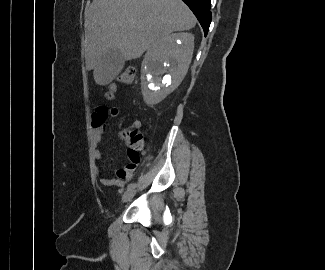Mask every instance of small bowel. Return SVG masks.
Wrapping results in <instances>:
<instances>
[{
    "label": "small bowel",
    "instance_id": "small-bowel-1",
    "mask_svg": "<svg viewBox=\"0 0 325 270\" xmlns=\"http://www.w3.org/2000/svg\"><path fill=\"white\" fill-rule=\"evenodd\" d=\"M119 115V109L117 107L107 108L105 103H98L95 113L92 119V129H91V141L93 145V156L96 162L100 161L102 158V152L98 146V144L102 140V135L105 130L104 122L108 120V118H116ZM138 127L137 124L134 125ZM131 147L128 145L127 149V158L128 161L130 159L129 152L131 151ZM136 165L133 167H125L119 168L116 172L117 178L112 179L101 174V168L99 165H96L95 170L99 177L101 184L105 186H117L122 187L124 181H129L132 177V173L136 169Z\"/></svg>",
    "mask_w": 325,
    "mask_h": 270
}]
</instances>
